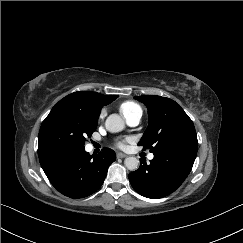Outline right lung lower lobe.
Returning a JSON list of instances; mask_svg holds the SVG:
<instances>
[{"label": "right lung lower lobe", "mask_w": 243, "mask_h": 243, "mask_svg": "<svg viewBox=\"0 0 243 243\" xmlns=\"http://www.w3.org/2000/svg\"><path fill=\"white\" fill-rule=\"evenodd\" d=\"M39 160L49 181L60 193L83 198L101 187L116 154L106 148L96 156L84 148L62 149L39 154Z\"/></svg>", "instance_id": "obj_1"}]
</instances>
